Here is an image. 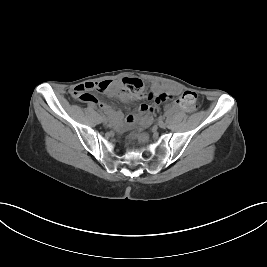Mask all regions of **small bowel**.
<instances>
[{"mask_svg":"<svg viewBox=\"0 0 267 267\" xmlns=\"http://www.w3.org/2000/svg\"><path fill=\"white\" fill-rule=\"evenodd\" d=\"M98 83L99 82H87L86 84L96 86V84H98ZM81 85H83V84H81ZM81 85H78V86L71 89L70 94L72 97H74V91ZM150 88H151V91L156 93V94H160L162 91H166L167 94H169V95H178L180 93V89L174 85L161 86L159 84H153V85H151ZM117 95L119 96L120 99H122L124 101L128 99V96L125 93H117ZM85 102L97 105L101 110H103L106 113L112 112V108L109 105H107L103 102H100L98 100H95L94 98L91 100L85 101ZM155 109H156V106H151V105H148L146 103H142L139 105V112L141 114L153 112ZM178 110H179V106L176 103L172 104L169 107V111H171V112H177ZM134 119H135V116L133 114H127L125 117V120L128 123L133 122Z\"/></svg>","mask_w":267,"mask_h":267,"instance_id":"obj_1","label":"small bowel"}]
</instances>
